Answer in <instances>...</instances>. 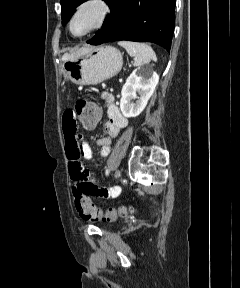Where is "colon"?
<instances>
[{"label": "colon", "mask_w": 240, "mask_h": 288, "mask_svg": "<svg viewBox=\"0 0 240 288\" xmlns=\"http://www.w3.org/2000/svg\"><path fill=\"white\" fill-rule=\"evenodd\" d=\"M75 113L81 123L86 128H93L97 125L101 117V109L95 102L86 99H78L75 103ZM75 206L80 216L90 221H115L118 217L128 216L132 209L127 206L101 210L89 198L87 194L75 188Z\"/></svg>", "instance_id": "colon-1"}]
</instances>
